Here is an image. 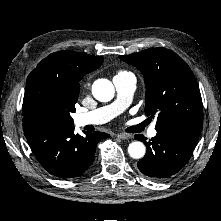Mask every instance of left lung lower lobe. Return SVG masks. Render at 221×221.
I'll list each match as a JSON object with an SVG mask.
<instances>
[{"label": "left lung lower lobe", "instance_id": "1", "mask_svg": "<svg viewBox=\"0 0 221 221\" xmlns=\"http://www.w3.org/2000/svg\"><path fill=\"white\" fill-rule=\"evenodd\" d=\"M201 131L187 128L157 130L147 142L143 135H135L146 144V155L137 163L139 170L153 179L168 178L181 170L189 161Z\"/></svg>", "mask_w": 221, "mask_h": 221}]
</instances>
